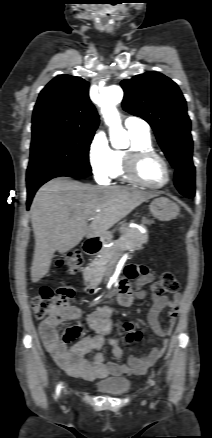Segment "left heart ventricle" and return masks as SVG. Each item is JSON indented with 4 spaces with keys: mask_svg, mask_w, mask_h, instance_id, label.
Masks as SVG:
<instances>
[{
    "mask_svg": "<svg viewBox=\"0 0 212 438\" xmlns=\"http://www.w3.org/2000/svg\"><path fill=\"white\" fill-rule=\"evenodd\" d=\"M140 177L154 185L162 184L166 180V172L163 164L157 158L145 159L139 168Z\"/></svg>",
    "mask_w": 212,
    "mask_h": 438,
    "instance_id": "left-heart-ventricle-1",
    "label": "left heart ventricle"
}]
</instances>
